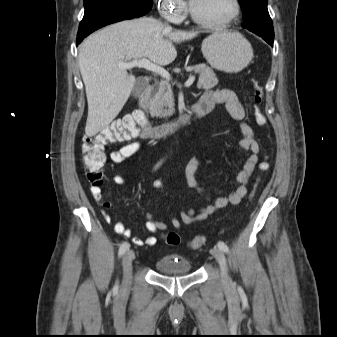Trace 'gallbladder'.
Masks as SVG:
<instances>
[{
  "label": "gallbladder",
  "mask_w": 337,
  "mask_h": 337,
  "mask_svg": "<svg viewBox=\"0 0 337 337\" xmlns=\"http://www.w3.org/2000/svg\"><path fill=\"white\" fill-rule=\"evenodd\" d=\"M144 88L145 85L140 80H138L133 87V95L136 97L140 96Z\"/></svg>",
  "instance_id": "bac80fb5"
}]
</instances>
